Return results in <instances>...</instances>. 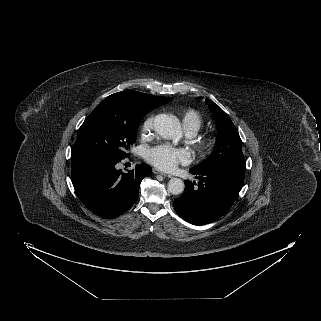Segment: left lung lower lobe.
<instances>
[{"label": "left lung lower lobe", "mask_w": 321, "mask_h": 321, "mask_svg": "<svg viewBox=\"0 0 321 321\" xmlns=\"http://www.w3.org/2000/svg\"><path fill=\"white\" fill-rule=\"evenodd\" d=\"M245 161L226 162L190 172L199 179L185 181L184 193L174 200L176 212L187 222L204 225L223 216L244 182Z\"/></svg>", "instance_id": "0a47b994"}]
</instances>
